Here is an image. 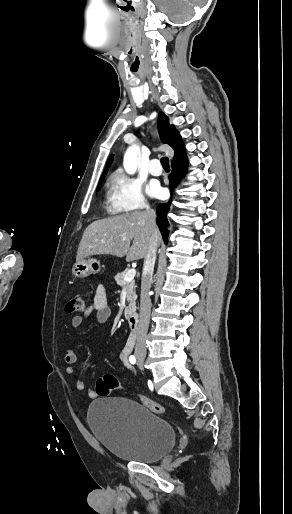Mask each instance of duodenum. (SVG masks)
Wrapping results in <instances>:
<instances>
[{
  "mask_svg": "<svg viewBox=\"0 0 292 514\" xmlns=\"http://www.w3.org/2000/svg\"><path fill=\"white\" fill-rule=\"evenodd\" d=\"M129 329L133 334H136L139 329V316L134 313L129 317Z\"/></svg>",
  "mask_w": 292,
  "mask_h": 514,
  "instance_id": "duodenum-1",
  "label": "duodenum"
}]
</instances>
